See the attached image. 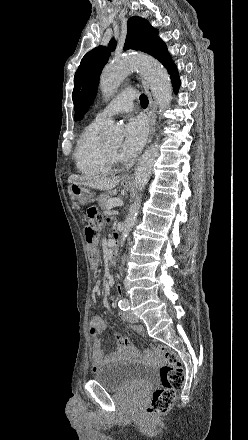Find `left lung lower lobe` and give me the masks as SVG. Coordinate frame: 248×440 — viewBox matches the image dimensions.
<instances>
[{
  "instance_id": "left-lung-lower-lobe-1",
  "label": "left lung lower lobe",
  "mask_w": 248,
  "mask_h": 440,
  "mask_svg": "<svg viewBox=\"0 0 248 440\" xmlns=\"http://www.w3.org/2000/svg\"><path fill=\"white\" fill-rule=\"evenodd\" d=\"M171 80L174 87V91L177 92L180 86V80L177 72L171 74Z\"/></svg>"
}]
</instances>
